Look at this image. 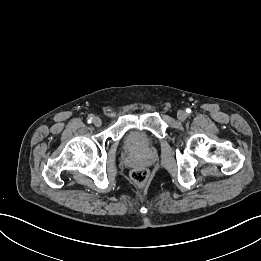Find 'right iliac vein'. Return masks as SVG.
Returning <instances> with one entry per match:
<instances>
[{"mask_svg": "<svg viewBox=\"0 0 261 261\" xmlns=\"http://www.w3.org/2000/svg\"><path fill=\"white\" fill-rule=\"evenodd\" d=\"M93 124L96 126V127H100L101 124H102V121L99 117H94L93 119Z\"/></svg>", "mask_w": 261, "mask_h": 261, "instance_id": "obj_1", "label": "right iliac vein"}]
</instances>
